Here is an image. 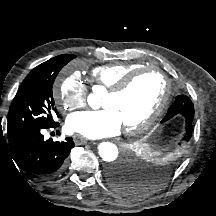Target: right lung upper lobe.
<instances>
[{
  "label": "right lung upper lobe",
  "instance_id": "1",
  "mask_svg": "<svg viewBox=\"0 0 216 216\" xmlns=\"http://www.w3.org/2000/svg\"><path fill=\"white\" fill-rule=\"evenodd\" d=\"M46 64H47V62H44V63L38 65V66H37L36 68H34L30 73L32 74V73H35V72L39 71V70L42 69Z\"/></svg>",
  "mask_w": 216,
  "mask_h": 216
}]
</instances>
